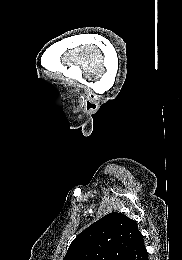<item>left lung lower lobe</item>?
<instances>
[{
  "label": "left lung lower lobe",
  "mask_w": 182,
  "mask_h": 260,
  "mask_svg": "<svg viewBox=\"0 0 182 260\" xmlns=\"http://www.w3.org/2000/svg\"><path fill=\"white\" fill-rule=\"evenodd\" d=\"M122 260H148V252L141 233L134 240Z\"/></svg>",
  "instance_id": "left-lung-lower-lobe-1"
}]
</instances>
